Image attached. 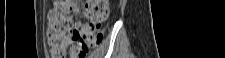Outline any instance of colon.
<instances>
[{"label": "colon", "instance_id": "5ec220e1", "mask_svg": "<svg viewBox=\"0 0 225 58\" xmlns=\"http://www.w3.org/2000/svg\"><path fill=\"white\" fill-rule=\"evenodd\" d=\"M89 23L73 24V16L81 13ZM110 10L107 0L58 1L50 12L48 42L54 58H64L68 45L74 57L84 58L103 40Z\"/></svg>", "mask_w": 225, "mask_h": 58}]
</instances>
